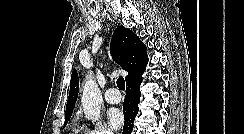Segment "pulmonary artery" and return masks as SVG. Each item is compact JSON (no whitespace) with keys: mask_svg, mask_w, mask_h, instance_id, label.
Listing matches in <instances>:
<instances>
[{"mask_svg":"<svg viewBox=\"0 0 244 134\" xmlns=\"http://www.w3.org/2000/svg\"><path fill=\"white\" fill-rule=\"evenodd\" d=\"M105 100L109 104H118L121 101V95L116 88H109L105 93Z\"/></svg>","mask_w":244,"mask_h":134,"instance_id":"obj_1","label":"pulmonary artery"}]
</instances>
